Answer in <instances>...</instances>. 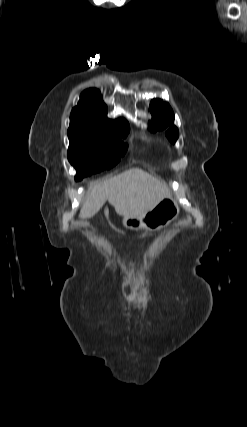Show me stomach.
Segmentation results:
<instances>
[{
    "label": "stomach",
    "mask_w": 247,
    "mask_h": 427,
    "mask_svg": "<svg viewBox=\"0 0 247 427\" xmlns=\"http://www.w3.org/2000/svg\"><path fill=\"white\" fill-rule=\"evenodd\" d=\"M179 204L169 196L161 200L143 216L124 218L123 224L132 230L146 229L156 231L168 226L179 215Z\"/></svg>",
    "instance_id": "stomach-1"
}]
</instances>
